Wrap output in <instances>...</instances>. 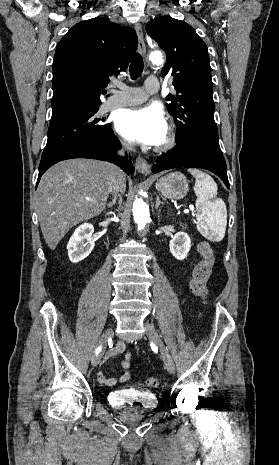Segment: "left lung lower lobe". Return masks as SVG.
I'll return each mask as SVG.
<instances>
[{
    "mask_svg": "<svg viewBox=\"0 0 279 465\" xmlns=\"http://www.w3.org/2000/svg\"><path fill=\"white\" fill-rule=\"evenodd\" d=\"M192 167L207 169L218 175L229 188L227 167L223 154L196 142L178 143L172 150L162 154L152 167L153 173L172 168Z\"/></svg>",
    "mask_w": 279,
    "mask_h": 465,
    "instance_id": "left-lung-lower-lobe-1",
    "label": "left lung lower lobe"
}]
</instances>
